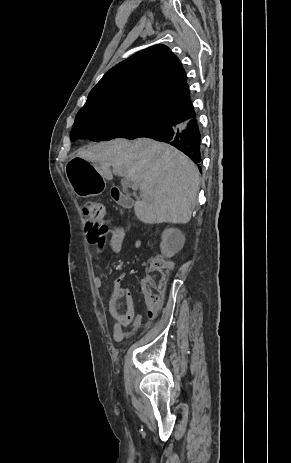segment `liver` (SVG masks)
I'll return each instance as SVG.
<instances>
[{"label": "liver", "mask_w": 291, "mask_h": 463, "mask_svg": "<svg viewBox=\"0 0 291 463\" xmlns=\"http://www.w3.org/2000/svg\"><path fill=\"white\" fill-rule=\"evenodd\" d=\"M77 157L91 162L106 180L113 173L139 185L141 200L134 204L146 224L190 221L199 190V172L182 152L149 138L133 142L115 139L82 148Z\"/></svg>", "instance_id": "obj_1"}]
</instances>
